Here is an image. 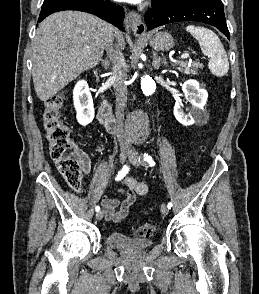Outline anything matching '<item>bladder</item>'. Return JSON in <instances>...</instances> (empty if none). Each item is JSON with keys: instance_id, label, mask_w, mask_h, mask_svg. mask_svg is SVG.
Instances as JSON below:
<instances>
[{"instance_id": "obj_1", "label": "bladder", "mask_w": 259, "mask_h": 294, "mask_svg": "<svg viewBox=\"0 0 259 294\" xmlns=\"http://www.w3.org/2000/svg\"><path fill=\"white\" fill-rule=\"evenodd\" d=\"M106 243L115 249L128 253L141 252L152 245V241L149 239L131 237L120 232L109 233L106 236Z\"/></svg>"}]
</instances>
